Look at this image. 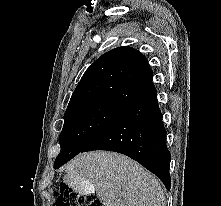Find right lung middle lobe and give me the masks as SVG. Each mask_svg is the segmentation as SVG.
<instances>
[{
	"label": "right lung middle lobe",
	"instance_id": "obj_1",
	"mask_svg": "<svg viewBox=\"0 0 221 206\" xmlns=\"http://www.w3.org/2000/svg\"><path fill=\"white\" fill-rule=\"evenodd\" d=\"M124 107L110 104H93L66 111L60 134L61 151L55 160V168L66 163L103 129L112 123Z\"/></svg>",
	"mask_w": 221,
	"mask_h": 206
}]
</instances>
